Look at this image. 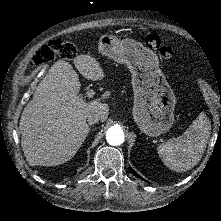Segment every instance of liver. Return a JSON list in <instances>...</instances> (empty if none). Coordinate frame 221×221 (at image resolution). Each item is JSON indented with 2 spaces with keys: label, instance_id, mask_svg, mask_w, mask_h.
<instances>
[{
  "label": "liver",
  "instance_id": "obj_1",
  "mask_svg": "<svg viewBox=\"0 0 221 221\" xmlns=\"http://www.w3.org/2000/svg\"><path fill=\"white\" fill-rule=\"evenodd\" d=\"M74 64L88 80L105 77L94 57L79 55ZM80 87L79 75L63 60L57 61L36 87L19 122L21 146L30 166H56L69 161L88 136L87 116L95 112L101 114V122L107 120L108 104L79 98Z\"/></svg>",
  "mask_w": 221,
  "mask_h": 221
}]
</instances>
